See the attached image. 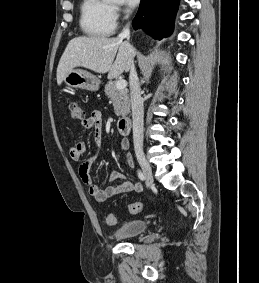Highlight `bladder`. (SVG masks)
Here are the masks:
<instances>
[{
  "label": "bladder",
  "mask_w": 259,
  "mask_h": 283,
  "mask_svg": "<svg viewBox=\"0 0 259 283\" xmlns=\"http://www.w3.org/2000/svg\"><path fill=\"white\" fill-rule=\"evenodd\" d=\"M146 228V221L130 220L118 227L114 232V236L119 240L128 239L140 235L146 230Z\"/></svg>",
  "instance_id": "31cf9c89"
}]
</instances>
